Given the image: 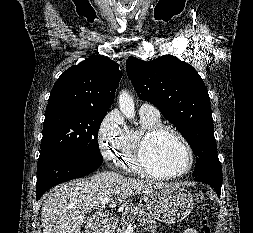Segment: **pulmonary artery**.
Returning <instances> with one entry per match:
<instances>
[{"mask_svg": "<svg viewBox=\"0 0 253 233\" xmlns=\"http://www.w3.org/2000/svg\"><path fill=\"white\" fill-rule=\"evenodd\" d=\"M140 115L160 116L159 110L150 103H142L139 107Z\"/></svg>", "mask_w": 253, "mask_h": 233, "instance_id": "obj_1", "label": "pulmonary artery"}]
</instances>
